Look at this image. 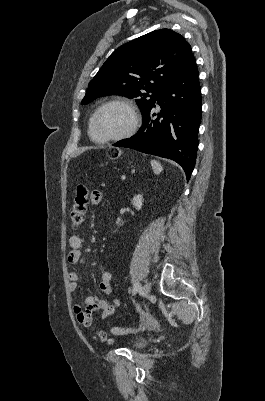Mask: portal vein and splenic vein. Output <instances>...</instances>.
I'll use <instances>...</instances> for the list:
<instances>
[{"label":"portal vein and splenic vein","instance_id":"portal-vein-and-splenic-vein-1","mask_svg":"<svg viewBox=\"0 0 265 401\" xmlns=\"http://www.w3.org/2000/svg\"><path fill=\"white\" fill-rule=\"evenodd\" d=\"M120 180H121V181H125V180H126V177H125L124 174H121V175H120Z\"/></svg>","mask_w":265,"mask_h":401}]
</instances>
